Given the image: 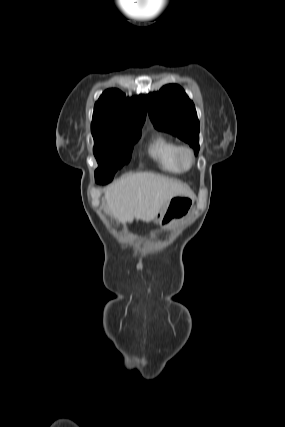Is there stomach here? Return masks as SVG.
<instances>
[{
  "label": "stomach",
  "mask_w": 285,
  "mask_h": 427,
  "mask_svg": "<svg viewBox=\"0 0 285 427\" xmlns=\"http://www.w3.org/2000/svg\"><path fill=\"white\" fill-rule=\"evenodd\" d=\"M194 201L187 196L172 198L160 212V224L164 228L186 217L193 208Z\"/></svg>",
  "instance_id": "obj_1"
}]
</instances>
